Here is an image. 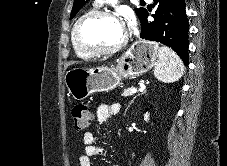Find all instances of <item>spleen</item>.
Masks as SVG:
<instances>
[{"label": "spleen", "instance_id": "3e777b00", "mask_svg": "<svg viewBox=\"0 0 227 166\" xmlns=\"http://www.w3.org/2000/svg\"><path fill=\"white\" fill-rule=\"evenodd\" d=\"M184 72L185 67L178 55L169 47H160L154 68L155 77L164 83H172L178 81Z\"/></svg>", "mask_w": 227, "mask_h": 166}]
</instances>
